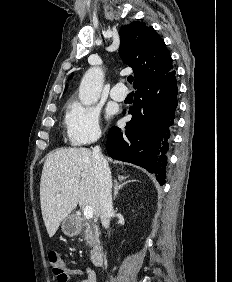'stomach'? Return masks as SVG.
I'll return each mask as SVG.
<instances>
[{
    "instance_id": "obj_1",
    "label": "stomach",
    "mask_w": 232,
    "mask_h": 282,
    "mask_svg": "<svg viewBox=\"0 0 232 282\" xmlns=\"http://www.w3.org/2000/svg\"><path fill=\"white\" fill-rule=\"evenodd\" d=\"M61 230L65 235L73 237L79 233L80 224L73 215L67 216L62 221Z\"/></svg>"
}]
</instances>
